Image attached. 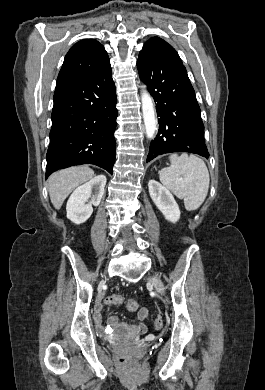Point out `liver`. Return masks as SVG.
<instances>
[{"label":"liver","mask_w":265,"mask_h":390,"mask_svg":"<svg viewBox=\"0 0 265 390\" xmlns=\"http://www.w3.org/2000/svg\"><path fill=\"white\" fill-rule=\"evenodd\" d=\"M93 176L94 171L88 166L70 167L52 174L48 179V186L53 206L60 209L68 195Z\"/></svg>","instance_id":"1"}]
</instances>
